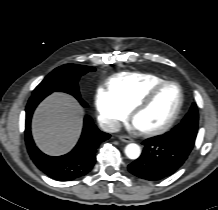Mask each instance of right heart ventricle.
I'll list each match as a JSON object with an SVG mask.
<instances>
[{
	"label": "right heart ventricle",
	"instance_id": "e07e8e85",
	"mask_svg": "<svg viewBox=\"0 0 218 210\" xmlns=\"http://www.w3.org/2000/svg\"><path fill=\"white\" fill-rule=\"evenodd\" d=\"M165 79L151 73H121L108 81V89L129 109Z\"/></svg>",
	"mask_w": 218,
	"mask_h": 210
}]
</instances>
